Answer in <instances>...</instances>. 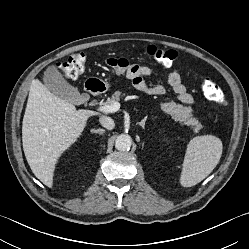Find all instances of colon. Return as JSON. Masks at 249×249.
<instances>
[{
	"mask_svg": "<svg viewBox=\"0 0 249 249\" xmlns=\"http://www.w3.org/2000/svg\"><path fill=\"white\" fill-rule=\"evenodd\" d=\"M147 55L164 66L175 64L179 58L175 50L161 49L156 46H149L147 48ZM85 62L86 57L84 53L76 52L71 54L64 62L57 64V68L64 77L68 79H77L85 70ZM106 63L116 71H124L128 66L126 59L113 58L108 59ZM202 90L209 101L214 103L221 102V90L211 78L206 77L203 79Z\"/></svg>",
	"mask_w": 249,
	"mask_h": 249,
	"instance_id": "obj_1",
	"label": "colon"
}]
</instances>
